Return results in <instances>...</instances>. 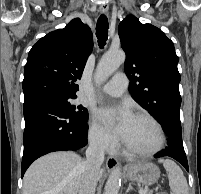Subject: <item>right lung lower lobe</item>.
Instances as JSON below:
<instances>
[{"label": "right lung lower lobe", "mask_w": 201, "mask_h": 194, "mask_svg": "<svg viewBox=\"0 0 201 194\" xmlns=\"http://www.w3.org/2000/svg\"><path fill=\"white\" fill-rule=\"evenodd\" d=\"M24 118L22 176L40 156L55 151H81L88 142L87 123L76 120L51 101L42 98L24 101Z\"/></svg>", "instance_id": "1"}]
</instances>
